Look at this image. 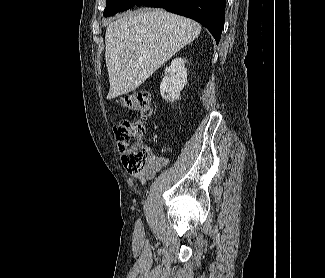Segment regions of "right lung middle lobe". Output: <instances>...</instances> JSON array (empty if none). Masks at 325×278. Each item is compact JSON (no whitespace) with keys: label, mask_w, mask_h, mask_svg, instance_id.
<instances>
[{"label":"right lung middle lobe","mask_w":325,"mask_h":278,"mask_svg":"<svg viewBox=\"0 0 325 278\" xmlns=\"http://www.w3.org/2000/svg\"><path fill=\"white\" fill-rule=\"evenodd\" d=\"M136 2L137 0H107L104 15L107 17L117 12L132 8Z\"/></svg>","instance_id":"1"}]
</instances>
